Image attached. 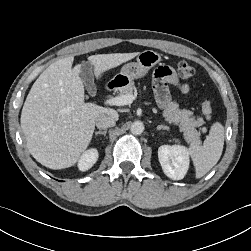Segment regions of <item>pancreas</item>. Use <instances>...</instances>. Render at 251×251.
I'll list each match as a JSON object with an SVG mask.
<instances>
[{"label":"pancreas","instance_id":"pancreas-1","mask_svg":"<svg viewBox=\"0 0 251 251\" xmlns=\"http://www.w3.org/2000/svg\"><path fill=\"white\" fill-rule=\"evenodd\" d=\"M134 91V82H131L119 89V96L133 94ZM162 115L167 122L179 124L180 129L184 132L186 141L196 143L200 141V132L196 130V127L202 126L205 122L202 118L195 119L192 116V111L179 109L178 103L176 101H171L165 106Z\"/></svg>","mask_w":251,"mask_h":251}]
</instances>
